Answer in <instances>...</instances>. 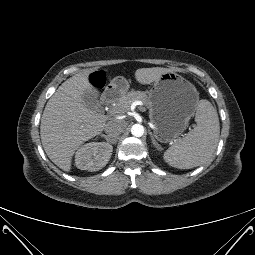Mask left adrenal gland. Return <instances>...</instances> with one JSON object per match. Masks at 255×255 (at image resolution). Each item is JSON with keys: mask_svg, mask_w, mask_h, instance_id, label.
Returning a JSON list of instances; mask_svg holds the SVG:
<instances>
[{"mask_svg": "<svg viewBox=\"0 0 255 255\" xmlns=\"http://www.w3.org/2000/svg\"><path fill=\"white\" fill-rule=\"evenodd\" d=\"M150 137H151V140H152L153 145H154L156 148H158V145H157V143L155 142V140H154V138H153L151 132H150Z\"/></svg>", "mask_w": 255, "mask_h": 255, "instance_id": "obj_1", "label": "left adrenal gland"}]
</instances>
